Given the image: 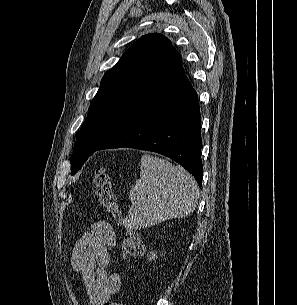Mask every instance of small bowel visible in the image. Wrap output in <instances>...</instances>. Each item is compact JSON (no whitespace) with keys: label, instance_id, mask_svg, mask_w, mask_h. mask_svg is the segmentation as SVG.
Returning a JSON list of instances; mask_svg holds the SVG:
<instances>
[{"label":"small bowel","instance_id":"c3829d8e","mask_svg":"<svg viewBox=\"0 0 297 305\" xmlns=\"http://www.w3.org/2000/svg\"><path fill=\"white\" fill-rule=\"evenodd\" d=\"M116 233L106 220L95 222L75 242L70 263L85 285L90 305H106L121 289V278L107 271Z\"/></svg>","mask_w":297,"mask_h":305}]
</instances>
